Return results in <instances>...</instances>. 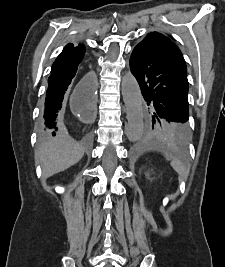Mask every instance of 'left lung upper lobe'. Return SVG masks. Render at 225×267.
I'll list each match as a JSON object with an SVG mask.
<instances>
[{"instance_id": "5c2ea615", "label": "left lung upper lobe", "mask_w": 225, "mask_h": 267, "mask_svg": "<svg viewBox=\"0 0 225 267\" xmlns=\"http://www.w3.org/2000/svg\"><path fill=\"white\" fill-rule=\"evenodd\" d=\"M148 35L149 36H155L158 38H163L167 41L173 42L169 37H167V36H165L159 32H151ZM152 128L154 130L158 131L159 133L163 134L164 136L171 138L180 144L184 143L188 138V124L187 123L183 126V128L185 129V138H184V140H181L174 133L175 124L162 118V117L156 116L155 112L153 110H152Z\"/></svg>"}]
</instances>
